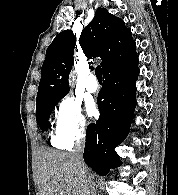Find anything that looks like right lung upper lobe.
I'll return each instance as SVG.
<instances>
[{
	"label": "right lung upper lobe",
	"instance_id": "obj_1",
	"mask_svg": "<svg viewBox=\"0 0 178 195\" xmlns=\"http://www.w3.org/2000/svg\"><path fill=\"white\" fill-rule=\"evenodd\" d=\"M79 44L87 58L100 57L103 75L123 70L138 61L136 44L124 22L99 7L84 28ZM76 39L71 30L59 33L46 50L36 106L62 99L69 92L68 75L73 63Z\"/></svg>",
	"mask_w": 178,
	"mask_h": 195
}]
</instances>
